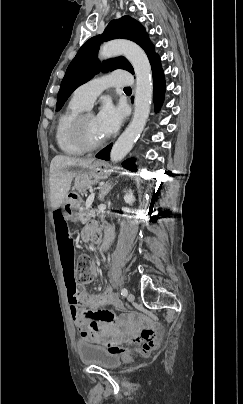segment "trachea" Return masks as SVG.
<instances>
[{
  "instance_id": "1",
  "label": "trachea",
  "mask_w": 243,
  "mask_h": 404,
  "mask_svg": "<svg viewBox=\"0 0 243 404\" xmlns=\"http://www.w3.org/2000/svg\"><path fill=\"white\" fill-rule=\"evenodd\" d=\"M124 90H129V91H131V88H130V87H125Z\"/></svg>"
}]
</instances>
